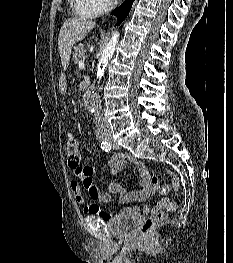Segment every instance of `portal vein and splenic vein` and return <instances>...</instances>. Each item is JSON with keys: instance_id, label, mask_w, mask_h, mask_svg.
Masks as SVG:
<instances>
[{"instance_id": "obj_1", "label": "portal vein and splenic vein", "mask_w": 233, "mask_h": 263, "mask_svg": "<svg viewBox=\"0 0 233 263\" xmlns=\"http://www.w3.org/2000/svg\"><path fill=\"white\" fill-rule=\"evenodd\" d=\"M79 67H81V68L84 67V60L79 61Z\"/></svg>"}]
</instances>
